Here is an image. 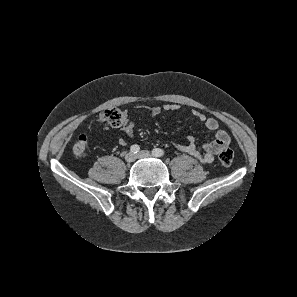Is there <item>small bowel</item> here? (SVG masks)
<instances>
[{"label": "small bowel", "instance_id": "small-bowel-1", "mask_svg": "<svg viewBox=\"0 0 297 297\" xmlns=\"http://www.w3.org/2000/svg\"><path fill=\"white\" fill-rule=\"evenodd\" d=\"M178 108L179 106L176 104H167L163 107V110L176 111L178 110ZM161 111L162 108L156 106L152 107L149 112L152 116H156L159 115ZM191 114L193 117L203 122L207 129L216 131L215 137L213 140L204 145L203 151L197 149L193 137H188L186 144L176 143L175 146L180 151L193 156L200 162L204 164H210L214 161V157L229 145L230 137L224 130L219 129V123L214 117H208L203 112H200L198 110H193ZM121 130L127 137H133L135 132V124L132 121L125 119L124 123L121 126ZM118 143L121 146H125L127 144V141L124 138H120L118 140Z\"/></svg>", "mask_w": 297, "mask_h": 297}]
</instances>
